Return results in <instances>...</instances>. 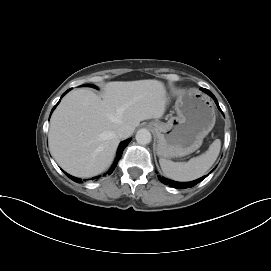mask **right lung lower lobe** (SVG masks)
<instances>
[{"instance_id": "right-lung-lower-lobe-1", "label": "right lung lower lobe", "mask_w": 271, "mask_h": 271, "mask_svg": "<svg viewBox=\"0 0 271 271\" xmlns=\"http://www.w3.org/2000/svg\"><path fill=\"white\" fill-rule=\"evenodd\" d=\"M69 90H70V89H69ZM69 90H67V91L62 95V97H63ZM58 103H59V102H58ZM58 103H57V104H58ZM57 104L54 106V108L57 106ZM54 108L52 109V111L54 110ZM130 141H131V139H127V140L123 141V142L120 144L119 149H118V152H117L116 159H115V161H114V164H113L112 167L107 171L106 174L112 173L113 170L116 168L117 163H118V161L120 160V158H121V156H122V153H123L124 148L128 145V143H129ZM106 174H104V175H106ZM66 175H67L70 179H72L73 181H75V182H77V183H81V182H82V180L79 179V178H76V177H73V176H71V175H68L67 173H66ZM96 178H99V176L96 177Z\"/></svg>"}]
</instances>
